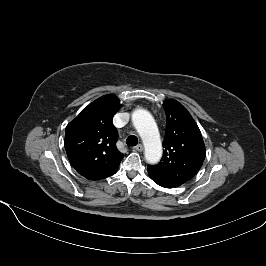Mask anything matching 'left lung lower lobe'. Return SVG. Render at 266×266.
<instances>
[{
    "instance_id": "obj_1",
    "label": "left lung lower lobe",
    "mask_w": 266,
    "mask_h": 266,
    "mask_svg": "<svg viewBox=\"0 0 266 266\" xmlns=\"http://www.w3.org/2000/svg\"><path fill=\"white\" fill-rule=\"evenodd\" d=\"M150 175V174H149ZM151 178L158 184V185H160V186H162V187H165V186H163L160 182H158L157 180H155L152 176H151ZM166 188V187H165Z\"/></svg>"
}]
</instances>
